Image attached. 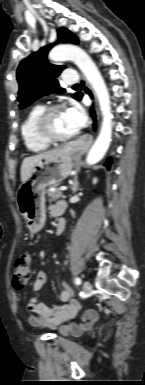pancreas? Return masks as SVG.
I'll return each mask as SVG.
<instances>
[{"instance_id": "cf45deb5", "label": "pancreas", "mask_w": 145, "mask_h": 385, "mask_svg": "<svg viewBox=\"0 0 145 385\" xmlns=\"http://www.w3.org/2000/svg\"><path fill=\"white\" fill-rule=\"evenodd\" d=\"M47 194L49 197V202H52L62 196V191H60L59 189H55L53 191L49 190Z\"/></svg>"}]
</instances>
